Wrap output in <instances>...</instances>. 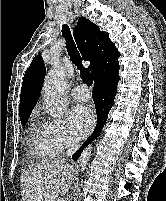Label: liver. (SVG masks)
Returning a JSON list of instances; mask_svg holds the SVG:
<instances>
[{
  "label": "liver",
  "mask_w": 166,
  "mask_h": 201,
  "mask_svg": "<svg viewBox=\"0 0 166 201\" xmlns=\"http://www.w3.org/2000/svg\"><path fill=\"white\" fill-rule=\"evenodd\" d=\"M74 168L62 160L26 167L20 178L22 201H56L71 189Z\"/></svg>",
  "instance_id": "1"
}]
</instances>
